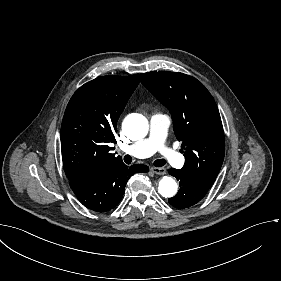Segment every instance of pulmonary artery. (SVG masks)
I'll use <instances>...</instances> for the list:
<instances>
[{"label":"pulmonary artery","instance_id":"pulmonary-artery-1","mask_svg":"<svg viewBox=\"0 0 281 281\" xmlns=\"http://www.w3.org/2000/svg\"><path fill=\"white\" fill-rule=\"evenodd\" d=\"M171 125V118L164 113H157L148 121L147 130L151 133L144 141H136L133 144L132 152L136 156L148 158L155 151H159L166 162L174 168H180L184 164V159L175 151L164 147L163 139L166 137L168 127Z\"/></svg>","mask_w":281,"mask_h":281}]
</instances>
